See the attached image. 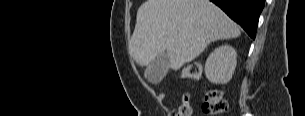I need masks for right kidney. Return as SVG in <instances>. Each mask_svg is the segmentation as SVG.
Masks as SVG:
<instances>
[{
    "mask_svg": "<svg viewBox=\"0 0 305 116\" xmlns=\"http://www.w3.org/2000/svg\"><path fill=\"white\" fill-rule=\"evenodd\" d=\"M237 52L229 45L216 48L205 63V74L212 83H228L237 64Z\"/></svg>",
    "mask_w": 305,
    "mask_h": 116,
    "instance_id": "1",
    "label": "right kidney"
}]
</instances>
